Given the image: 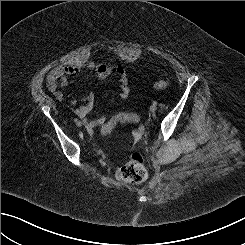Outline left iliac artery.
<instances>
[{
	"label": "left iliac artery",
	"instance_id": "obj_1",
	"mask_svg": "<svg viewBox=\"0 0 245 245\" xmlns=\"http://www.w3.org/2000/svg\"><path fill=\"white\" fill-rule=\"evenodd\" d=\"M157 104V101H153V105H156Z\"/></svg>",
	"mask_w": 245,
	"mask_h": 245
}]
</instances>
